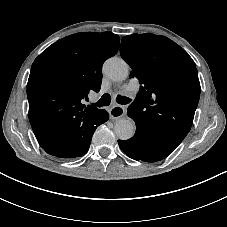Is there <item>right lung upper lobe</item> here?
<instances>
[{
  "instance_id": "1",
  "label": "right lung upper lobe",
  "mask_w": 227,
  "mask_h": 227,
  "mask_svg": "<svg viewBox=\"0 0 227 227\" xmlns=\"http://www.w3.org/2000/svg\"><path fill=\"white\" fill-rule=\"evenodd\" d=\"M119 43L112 32H81L60 39L35 59L27 84L33 131L63 147L74 125L108 120L105 110L83 102L90 90L99 91L103 62L116 54Z\"/></svg>"
}]
</instances>
